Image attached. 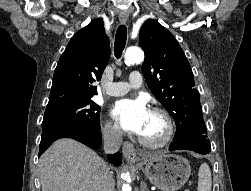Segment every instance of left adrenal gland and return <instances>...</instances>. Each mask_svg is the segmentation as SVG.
Instances as JSON below:
<instances>
[{
  "instance_id": "obj_1",
  "label": "left adrenal gland",
  "mask_w": 251,
  "mask_h": 191,
  "mask_svg": "<svg viewBox=\"0 0 251 191\" xmlns=\"http://www.w3.org/2000/svg\"><path fill=\"white\" fill-rule=\"evenodd\" d=\"M141 191H147V187H146L145 181H141Z\"/></svg>"
}]
</instances>
